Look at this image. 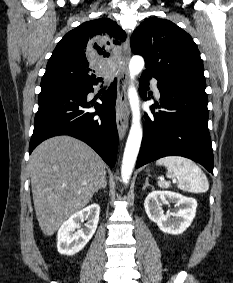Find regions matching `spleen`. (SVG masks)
Instances as JSON below:
<instances>
[{
	"mask_svg": "<svg viewBox=\"0 0 233 283\" xmlns=\"http://www.w3.org/2000/svg\"><path fill=\"white\" fill-rule=\"evenodd\" d=\"M156 165L167 168V178L177 179V187L192 193H205L209 182L204 172L191 160L180 156H166L156 161ZM160 188H169L168 182L158 180Z\"/></svg>",
	"mask_w": 233,
	"mask_h": 283,
	"instance_id": "3e777b00",
	"label": "spleen"
}]
</instances>
